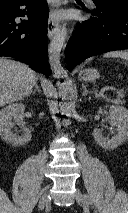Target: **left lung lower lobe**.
I'll list each match as a JSON object with an SVG mask.
<instances>
[{
    "mask_svg": "<svg viewBox=\"0 0 128 213\" xmlns=\"http://www.w3.org/2000/svg\"><path fill=\"white\" fill-rule=\"evenodd\" d=\"M94 4L92 17L78 25L67 45L65 56L70 71L91 56L128 49V3Z\"/></svg>",
    "mask_w": 128,
    "mask_h": 213,
    "instance_id": "obj_1",
    "label": "left lung lower lobe"
}]
</instances>
